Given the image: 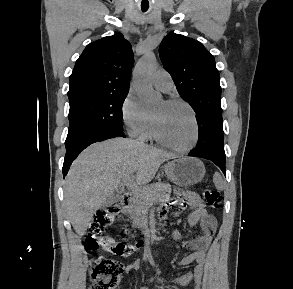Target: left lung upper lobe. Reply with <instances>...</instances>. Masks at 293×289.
<instances>
[{
    "label": "left lung upper lobe",
    "mask_w": 293,
    "mask_h": 289,
    "mask_svg": "<svg viewBox=\"0 0 293 289\" xmlns=\"http://www.w3.org/2000/svg\"><path fill=\"white\" fill-rule=\"evenodd\" d=\"M159 55L178 93L195 111L197 121H222L221 87L214 56L197 40L175 33L162 40Z\"/></svg>",
    "instance_id": "1"
}]
</instances>
